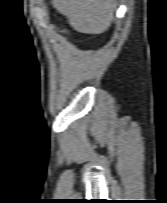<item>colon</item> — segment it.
Segmentation results:
<instances>
[{"label": "colon", "mask_w": 167, "mask_h": 203, "mask_svg": "<svg viewBox=\"0 0 167 203\" xmlns=\"http://www.w3.org/2000/svg\"><path fill=\"white\" fill-rule=\"evenodd\" d=\"M63 33H64L65 35H67V36H70L69 31H68L67 29H65V28H63Z\"/></svg>", "instance_id": "1"}]
</instances>
